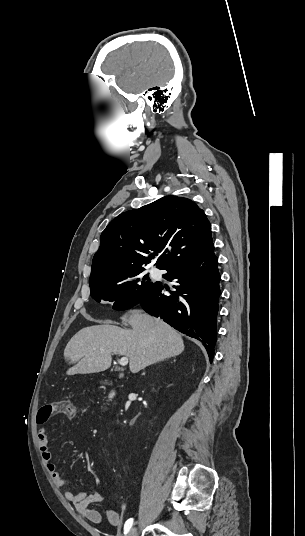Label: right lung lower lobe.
<instances>
[{
	"label": "right lung lower lobe",
	"mask_w": 305,
	"mask_h": 536,
	"mask_svg": "<svg viewBox=\"0 0 305 536\" xmlns=\"http://www.w3.org/2000/svg\"><path fill=\"white\" fill-rule=\"evenodd\" d=\"M164 270L168 271L164 278L174 280L173 288L176 291L165 295L162 293L163 286L158 283L138 304L151 315L164 319L180 332L201 341L212 361L221 295V276L214 244Z\"/></svg>",
	"instance_id": "1"
}]
</instances>
